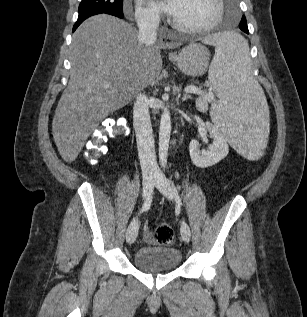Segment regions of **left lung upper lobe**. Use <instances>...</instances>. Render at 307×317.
Masks as SVG:
<instances>
[{
  "label": "left lung upper lobe",
  "mask_w": 307,
  "mask_h": 317,
  "mask_svg": "<svg viewBox=\"0 0 307 317\" xmlns=\"http://www.w3.org/2000/svg\"><path fill=\"white\" fill-rule=\"evenodd\" d=\"M243 19L246 21V18H245L244 16L242 17V20H243ZM242 20H241V21H242Z\"/></svg>",
  "instance_id": "left-lung-upper-lobe-1"
}]
</instances>
